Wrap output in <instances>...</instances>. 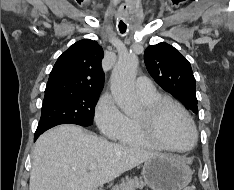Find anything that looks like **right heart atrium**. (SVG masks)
<instances>
[{
	"mask_svg": "<svg viewBox=\"0 0 234 190\" xmlns=\"http://www.w3.org/2000/svg\"><path fill=\"white\" fill-rule=\"evenodd\" d=\"M94 118L101 133L110 139L118 137L126 120V116L108 93L99 98L95 107Z\"/></svg>",
	"mask_w": 234,
	"mask_h": 190,
	"instance_id": "obj_1",
	"label": "right heart atrium"
}]
</instances>
